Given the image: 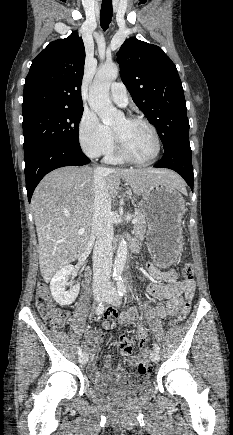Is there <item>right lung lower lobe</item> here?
<instances>
[{"label":"right lung lower lobe","instance_id":"1","mask_svg":"<svg viewBox=\"0 0 233 435\" xmlns=\"http://www.w3.org/2000/svg\"><path fill=\"white\" fill-rule=\"evenodd\" d=\"M25 153V178L29 202L41 179L50 171L64 166H82L90 162L81 148L45 143L33 146Z\"/></svg>","mask_w":233,"mask_h":435}]
</instances>
